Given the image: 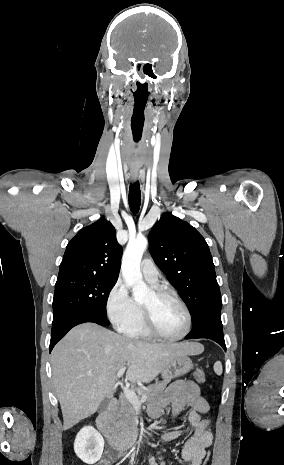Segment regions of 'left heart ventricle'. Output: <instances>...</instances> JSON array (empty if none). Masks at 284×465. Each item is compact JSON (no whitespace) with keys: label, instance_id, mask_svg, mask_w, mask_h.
I'll list each match as a JSON object with an SVG mask.
<instances>
[{"label":"left heart ventricle","instance_id":"b2bd125f","mask_svg":"<svg viewBox=\"0 0 284 465\" xmlns=\"http://www.w3.org/2000/svg\"><path fill=\"white\" fill-rule=\"evenodd\" d=\"M149 308L154 316V328L156 332L164 337L172 338L181 335L186 327V317L183 310L173 301L157 299L154 292L142 304Z\"/></svg>","mask_w":284,"mask_h":465}]
</instances>
